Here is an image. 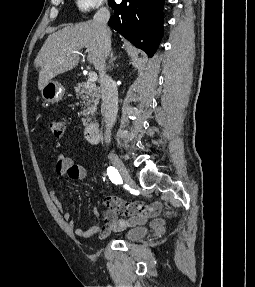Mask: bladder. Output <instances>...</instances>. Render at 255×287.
Returning a JSON list of instances; mask_svg holds the SVG:
<instances>
[{
  "mask_svg": "<svg viewBox=\"0 0 255 287\" xmlns=\"http://www.w3.org/2000/svg\"><path fill=\"white\" fill-rule=\"evenodd\" d=\"M147 233V229L142 226H132L125 229L120 237L123 240L133 241L143 238Z\"/></svg>",
  "mask_w": 255,
  "mask_h": 287,
  "instance_id": "31cf9c89",
  "label": "bladder"
}]
</instances>
